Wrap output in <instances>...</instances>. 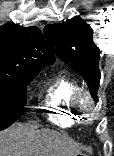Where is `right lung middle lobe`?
Here are the masks:
<instances>
[{"label":"right lung middle lobe","mask_w":114,"mask_h":156,"mask_svg":"<svg viewBox=\"0 0 114 156\" xmlns=\"http://www.w3.org/2000/svg\"><path fill=\"white\" fill-rule=\"evenodd\" d=\"M35 76L36 74L0 73V130L25 112L26 86Z\"/></svg>","instance_id":"obj_1"}]
</instances>
